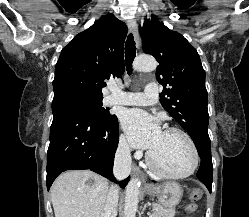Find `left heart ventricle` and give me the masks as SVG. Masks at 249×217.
I'll return each instance as SVG.
<instances>
[{
    "label": "left heart ventricle",
    "mask_w": 249,
    "mask_h": 217,
    "mask_svg": "<svg viewBox=\"0 0 249 217\" xmlns=\"http://www.w3.org/2000/svg\"><path fill=\"white\" fill-rule=\"evenodd\" d=\"M151 154L156 165L169 173L186 172L192 165L191 148L178 133L163 132L156 147L151 149Z\"/></svg>",
    "instance_id": "1"
}]
</instances>
